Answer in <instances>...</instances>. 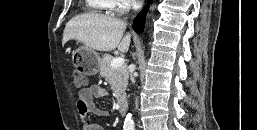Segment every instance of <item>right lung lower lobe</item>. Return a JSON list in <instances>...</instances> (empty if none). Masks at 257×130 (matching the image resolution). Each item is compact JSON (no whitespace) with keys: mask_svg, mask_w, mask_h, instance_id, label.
<instances>
[{"mask_svg":"<svg viewBox=\"0 0 257 130\" xmlns=\"http://www.w3.org/2000/svg\"><path fill=\"white\" fill-rule=\"evenodd\" d=\"M148 11V6L145 7L135 18L133 28L136 32L142 33L144 30L145 16Z\"/></svg>","mask_w":257,"mask_h":130,"instance_id":"98d812e1","label":"right lung lower lobe"}]
</instances>
